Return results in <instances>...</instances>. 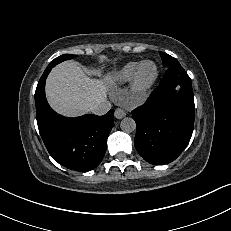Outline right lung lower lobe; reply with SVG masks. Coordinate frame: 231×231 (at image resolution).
<instances>
[{
    "mask_svg": "<svg viewBox=\"0 0 231 231\" xmlns=\"http://www.w3.org/2000/svg\"><path fill=\"white\" fill-rule=\"evenodd\" d=\"M54 66V63L47 66L35 92L40 135L49 154L58 163L71 170L90 171L104 157L107 137L114 126V112L66 118L53 111L45 97V81Z\"/></svg>",
    "mask_w": 231,
    "mask_h": 231,
    "instance_id": "obj_1",
    "label": "right lung lower lobe"
}]
</instances>
